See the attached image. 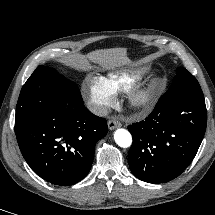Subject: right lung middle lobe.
<instances>
[{
    "mask_svg": "<svg viewBox=\"0 0 215 215\" xmlns=\"http://www.w3.org/2000/svg\"><path fill=\"white\" fill-rule=\"evenodd\" d=\"M76 86L58 72L40 65L24 84L16 107L15 133L24 129L48 104L49 100Z\"/></svg>",
    "mask_w": 215,
    "mask_h": 215,
    "instance_id": "obj_1",
    "label": "right lung middle lobe"
}]
</instances>
